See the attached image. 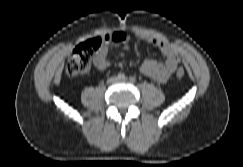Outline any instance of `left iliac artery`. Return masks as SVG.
<instances>
[{"label":"left iliac artery","mask_w":243,"mask_h":167,"mask_svg":"<svg viewBox=\"0 0 243 167\" xmlns=\"http://www.w3.org/2000/svg\"><path fill=\"white\" fill-rule=\"evenodd\" d=\"M136 81L135 77H130V82L134 83Z\"/></svg>","instance_id":"obj_1"}]
</instances>
